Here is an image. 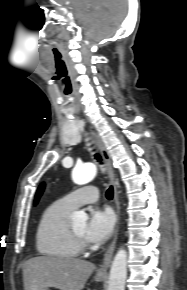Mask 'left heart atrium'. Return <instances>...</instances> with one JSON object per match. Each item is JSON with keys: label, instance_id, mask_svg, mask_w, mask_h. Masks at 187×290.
Segmentation results:
<instances>
[{"label": "left heart atrium", "instance_id": "left-heart-atrium-1", "mask_svg": "<svg viewBox=\"0 0 187 290\" xmlns=\"http://www.w3.org/2000/svg\"><path fill=\"white\" fill-rule=\"evenodd\" d=\"M115 226V217L110 210L94 208L86 227L85 238L91 243H101L112 234Z\"/></svg>", "mask_w": 187, "mask_h": 290}]
</instances>
